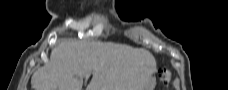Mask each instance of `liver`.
I'll return each instance as SVG.
<instances>
[{"mask_svg":"<svg viewBox=\"0 0 228 90\" xmlns=\"http://www.w3.org/2000/svg\"><path fill=\"white\" fill-rule=\"evenodd\" d=\"M156 69L154 56L144 48L112 42L87 43L73 39L59 42L48 64L31 78L34 90H82L83 79L92 73L86 90H151Z\"/></svg>","mask_w":228,"mask_h":90,"instance_id":"1","label":"liver"}]
</instances>
